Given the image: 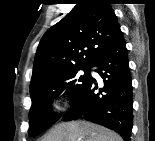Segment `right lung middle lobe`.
Segmentation results:
<instances>
[{
    "instance_id": "right-lung-middle-lobe-1",
    "label": "right lung middle lobe",
    "mask_w": 155,
    "mask_h": 141,
    "mask_svg": "<svg viewBox=\"0 0 155 141\" xmlns=\"http://www.w3.org/2000/svg\"><path fill=\"white\" fill-rule=\"evenodd\" d=\"M84 74L79 75L78 71ZM90 67L76 68L49 78L30 88L32 106L29 112V136H37L53 125L61 116L56 115L51 107V101L64 92L74 102L88 84L91 75Z\"/></svg>"
}]
</instances>
